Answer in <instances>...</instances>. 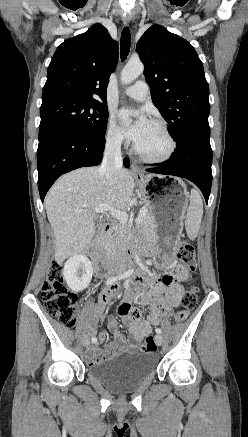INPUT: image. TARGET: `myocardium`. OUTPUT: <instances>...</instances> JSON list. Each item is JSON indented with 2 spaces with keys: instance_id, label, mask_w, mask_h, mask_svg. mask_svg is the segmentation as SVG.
I'll use <instances>...</instances> for the list:
<instances>
[{
  "instance_id": "1",
  "label": "myocardium",
  "mask_w": 248,
  "mask_h": 437,
  "mask_svg": "<svg viewBox=\"0 0 248 437\" xmlns=\"http://www.w3.org/2000/svg\"><path fill=\"white\" fill-rule=\"evenodd\" d=\"M151 123L157 125L158 127L161 128V130L163 131V133L165 134L168 142H169V148L167 150V152L158 158H153V157H149L145 154H143L137 147L136 145L133 146V151L134 153L137 155V157L139 159H141L143 162L148 163V164H161V163H165L167 161H169L172 156L174 155L175 151H176V141L170 131V129L168 128V125L166 124L165 121L161 120V119H153L151 121Z\"/></svg>"
}]
</instances>
